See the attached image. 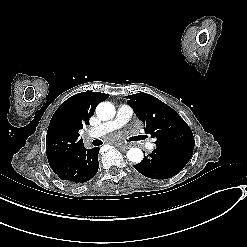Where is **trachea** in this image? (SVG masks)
<instances>
[{"label": "trachea", "mask_w": 247, "mask_h": 247, "mask_svg": "<svg viewBox=\"0 0 247 247\" xmlns=\"http://www.w3.org/2000/svg\"><path fill=\"white\" fill-rule=\"evenodd\" d=\"M93 144H94L95 146H99V145H102L103 142H102L101 140L96 139V140L93 141Z\"/></svg>", "instance_id": "trachea-1"}]
</instances>
